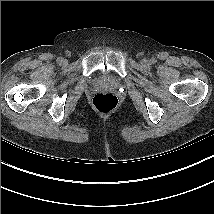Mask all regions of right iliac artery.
Wrapping results in <instances>:
<instances>
[{"label": "right iliac artery", "instance_id": "obj_1", "mask_svg": "<svg viewBox=\"0 0 214 214\" xmlns=\"http://www.w3.org/2000/svg\"><path fill=\"white\" fill-rule=\"evenodd\" d=\"M62 62H63V58L62 57L57 58V63L58 64H61Z\"/></svg>", "mask_w": 214, "mask_h": 214}]
</instances>
